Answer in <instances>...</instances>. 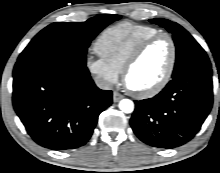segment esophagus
<instances>
[{
    "mask_svg": "<svg viewBox=\"0 0 220 173\" xmlns=\"http://www.w3.org/2000/svg\"><path fill=\"white\" fill-rule=\"evenodd\" d=\"M124 96L120 93H118L117 91L113 92V101L114 102H118L120 101Z\"/></svg>",
    "mask_w": 220,
    "mask_h": 173,
    "instance_id": "esophagus-1",
    "label": "esophagus"
}]
</instances>
